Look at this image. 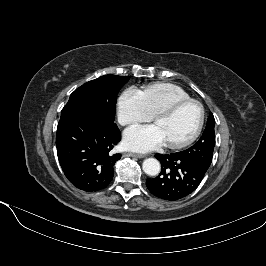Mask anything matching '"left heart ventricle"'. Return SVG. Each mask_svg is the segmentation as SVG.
Returning a JSON list of instances; mask_svg holds the SVG:
<instances>
[{
  "label": "left heart ventricle",
  "instance_id": "1",
  "mask_svg": "<svg viewBox=\"0 0 266 266\" xmlns=\"http://www.w3.org/2000/svg\"><path fill=\"white\" fill-rule=\"evenodd\" d=\"M200 118V109L194 104H187L170 116L155 122L166 143L178 142L188 138L196 129Z\"/></svg>",
  "mask_w": 266,
  "mask_h": 266
}]
</instances>
